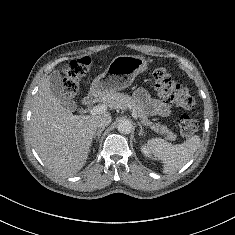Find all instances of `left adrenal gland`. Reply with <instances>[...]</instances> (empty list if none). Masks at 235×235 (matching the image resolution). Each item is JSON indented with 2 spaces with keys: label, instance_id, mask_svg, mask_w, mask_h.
I'll return each instance as SVG.
<instances>
[{
  "label": "left adrenal gland",
  "instance_id": "obj_1",
  "mask_svg": "<svg viewBox=\"0 0 235 235\" xmlns=\"http://www.w3.org/2000/svg\"><path fill=\"white\" fill-rule=\"evenodd\" d=\"M138 125H139V129H140V130H139V136H140V135H143L144 129H143L141 123L138 122Z\"/></svg>",
  "mask_w": 235,
  "mask_h": 235
}]
</instances>
